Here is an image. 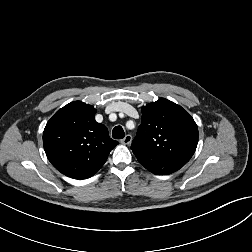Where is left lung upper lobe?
Listing matches in <instances>:
<instances>
[{
	"label": "left lung upper lobe",
	"instance_id": "obj_1",
	"mask_svg": "<svg viewBox=\"0 0 252 252\" xmlns=\"http://www.w3.org/2000/svg\"><path fill=\"white\" fill-rule=\"evenodd\" d=\"M141 121L131 145L138 160H190L197 147L198 128L181 106L160 98L142 107Z\"/></svg>",
	"mask_w": 252,
	"mask_h": 252
}]
</instances>
